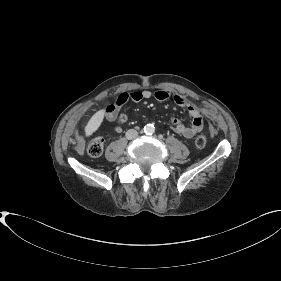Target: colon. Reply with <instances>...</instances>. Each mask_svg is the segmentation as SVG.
<instances>
[{
    "instance_id": "colon-1",
    "label": "colon",
    "mask_w": 281,
    "mask_h": 281,
    "mask_svg": "<svg viewBox=\"0 0 281 281\" xmlns=\"http://www.w3.org/2000/svg\"><path fill=\"white\" fill-rule=\"evenodd\" d=\"M120 122H124L126 120V116L121 114L119 117ZM207 139L204 135H199L195 139V145L197 148L202 149L206 146ZM104 149V140L102 138H97L92 140L87 146V153L91 157H99L103 153Z\"/></svg>"
}]
</instances>
